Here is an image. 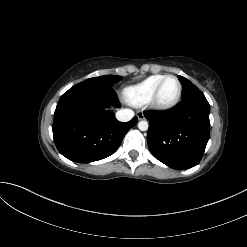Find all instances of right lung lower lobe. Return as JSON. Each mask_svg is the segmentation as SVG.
<instances>
[{"mask_svg":"<svg viewBox=\"0 0 247 247\" xmlns=\"http://www.w3.org/2000/svg\"><path fill=\"white\" fill-rule=\"evenodd\" d=\"M110 103L120 106L114 89L106 84L79 83L61 96L52 130L55 145L63 156L88 163L116 151L138 119L118 121L113 112L105 109Z\"/></svg>","mask_w":247,"mask_h":247,"instance_id":"1","label":"right lung lower lobe"}]
</instances>
